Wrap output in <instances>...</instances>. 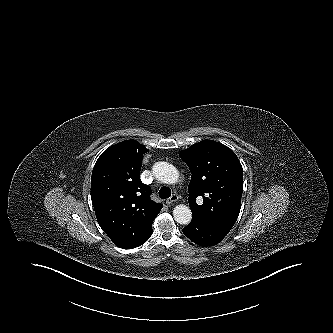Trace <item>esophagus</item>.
<instances>
[{
  "mask_svg": "<svg viewBox=\"0 0 333 333\" xmlns=\"http://www.w3.org/2000/svg\"><path fill=\"white\" fill-rule=\"evenodd\" d=\"M178 200V196L176 194H173L170 198L166 200L167 205H171L175 203Z\"/></svg>",
  "mask_w": 333,
  "mask_h": 333,
  "instance_id": "obj_1",
  "label": "esophagus"
}]
</instances>
